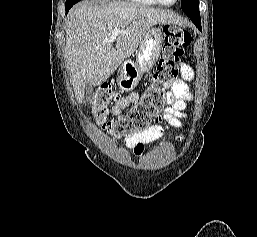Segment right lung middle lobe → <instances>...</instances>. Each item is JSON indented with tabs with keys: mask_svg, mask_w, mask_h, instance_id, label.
Masks as SVG:
<instances>
[{
	"mask_svg": "<svg viewBox=\"0 0 257 237\" xmlns=\"http://www.w3.org/2000/svg\"><path fill=\"white\" fill-rule=\"evenodd\" d=\"M80 0H66V7L71 8L75 3L79 2Z\"/></svg>",
	"mask_w": 257,
	"mask_h": 237,
	"instance_id": "1",
	"label": "right lung middle lobe"
}]
</instances>
